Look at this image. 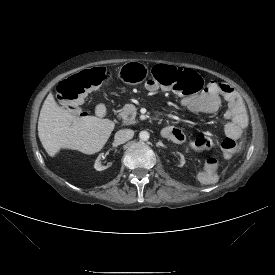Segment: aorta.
Segmentation results:
<instances>
[{
  "mask_svg": "<svg viewBox=\"0 0 275 275\" xmlns=\"http://www.w3.org/2000/svg\"><path fill=\"white\" fill-rule=\"evenodd\" d=\"M150 137V134L148 131H141L139 133V138L142 140V141H147Z\"/></svg>",
  "mask_w": 275,
  "mask_h": 275,
  "instance_id": "1",
  "label": "aorta"
}]
</instances>
